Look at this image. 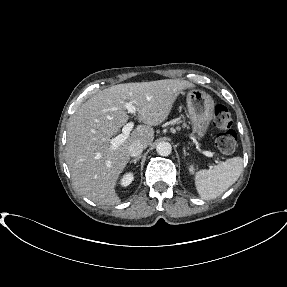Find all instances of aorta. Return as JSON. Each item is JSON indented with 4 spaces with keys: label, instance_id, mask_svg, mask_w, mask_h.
Masks as SVG:
<instances>
[{
    "label": "aorta",
    "instance_id": "762f6f07",
    "mask_svg": "<svg viewBox=\"0 0 287 287\" xmlns=\"http://www.w3.org/2000/svg\"><path fill=\"white\" fill-rule=\"evenodd\" d=\"M156 151L160 156H168L172 151L171 144L168 142H160L156 146Z\"/></svg>",
    "mask_w": 287,
    "mask_h": 287
}]
</instances>
